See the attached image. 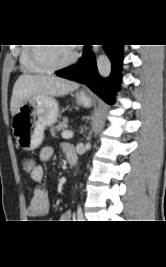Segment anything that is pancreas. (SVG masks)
I'll return each instance as SVG.
<instances>
[{"label": "pancreas", "mask_w": 166, "mask_h": 267, "mask_svg": "<svg viewBox=\"0 0 166 267\" xmlns=\"http://www.w3.org/2000/svg\"><path fill=\"white\" fill-rule=\"evenodd\" d=\"M67 122L68 120L66 118L63 119L62 122H60L57 126L52 127L50 129V132L53 136H56V133L61 131V130H65L67 128Z\"/></svg>", "instance_id": "1"}]
</instances>
